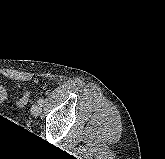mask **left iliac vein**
I'll return each instance as SVG.
<instances>
[{"label":"left iliac vein","instance_id":"1","mask_svg":"<svg viewBox=\"0 0 165 159\" xmlns=\"http://www.w3.org/2000/svg\"><path fill=\"white\" fill-rule=\"evenodd\" d=\"M41 104L39 102L35 103L34 106H33V111L34 112H37L41 109Z\"/></svg>","mask_w":165,"mask_h":159}]
</instances>
